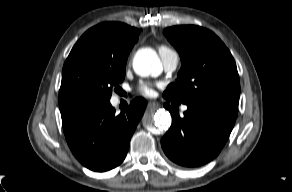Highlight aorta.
Returning <instances> with one entry per match:
<instances>
[{"mask_svg": "<svg viewBox=\"0 0 292 192\" xmlns=\"http://www.w3.org/2000/svg\"><path fill=\"white\" fill-rule=\"evenodd\" d=\"M133 69L139 76L159 75L162 71V64L155 51L142 49L138 51L133 60ZM171 124V115L165 109H159L154 116L144 120L147 129L167 130Z\"/></svg>", "mask_w": 292, "mask_h": 192, "instance_id": "1", "label": "aorta"}]
</instances>
